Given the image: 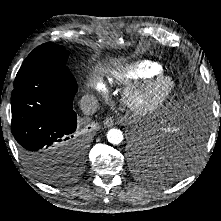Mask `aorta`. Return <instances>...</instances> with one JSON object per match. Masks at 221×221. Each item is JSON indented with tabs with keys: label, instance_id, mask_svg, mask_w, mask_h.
Wrapping results in <instances>:
<instances>
[{
	"label": "aorta",
	"instance_id": "1",
	"mask_svg": "<svg viewBox=\"0 0 221 221\" xmlns=\"http://www.w3.org/2000/svg\"><path fill=\"white\" fill-rule=\"evenodd\" d=\"M107 139L109 143L119 145L122 143L124 137L121 130L112 128L107 132Z\"/></svg>",
	"mask_w": 221,
	"mask_h": 221
}]
</instances>
